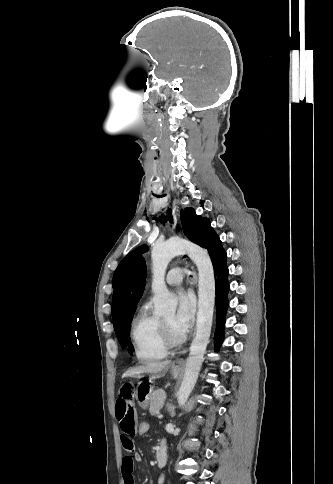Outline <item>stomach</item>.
Masks as SVG:
<instances>
[{
    "mask_svg": "<svg viewBox=\"0 0 333 484\" xmlns=\"http://www.w3.org/2000/svg\"><path fill=\"white\" fill-rule=\"evenodd\" d=\"M170 372L173 377L177 378L181 372V368L175 365H170ZM153 392V388L147 381H141L138 383L135 391V397L142 408H147L150 403V398Z\"/></svg>",
    "mask_w": 333,
    "mask_h": 484,
    "instance_id": "obj_1",
    "label": "stomach"
}]
</instances>
